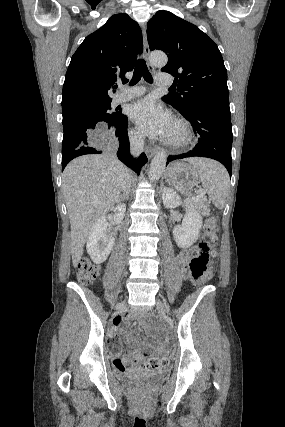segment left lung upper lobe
I'll list each match as a JSON object with an SVG mask.
<instances>
[{
    "mask_svg": "<svg viewBox=\"0 0 285 427\" xmlns=\"http://www.w3.org/2000/svg\"><path fill=\"white\" fill-rule=\"evenodd\" d=\"M147 38L151 50L168 56L161 71L175 77L176 93L163 100L180 113L200 104L229 108L227 71L215 44L197 26L169 11H158L148 22Z\"/></svg>",
    "mask_w": 285,
    "mask_h": 427,
    "instance_id": "5c2ea615",
    "label": "left lung upper lobe"
}]
</instances>
